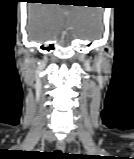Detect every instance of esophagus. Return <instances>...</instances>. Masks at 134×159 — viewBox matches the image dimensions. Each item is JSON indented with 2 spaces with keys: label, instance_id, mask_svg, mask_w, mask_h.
I'll use <instances>...</instances> for the list:
<instances>
[{
  "label": "esophagus",
  "instance_id": "34e87169",
  "mask_svg": "<svg viewBox=\"0 0 134 159\" xmlns=\"http://www.w3.org/2000/svg\"><path fill=\"white\" fill-rule=\"evenodd\" d=\"M56 148L60 151H65V143L63 141H58L56 144Z\"/></svg>",
  "mask_w": 134,
  "mask_h": 159
}]
</instances>
